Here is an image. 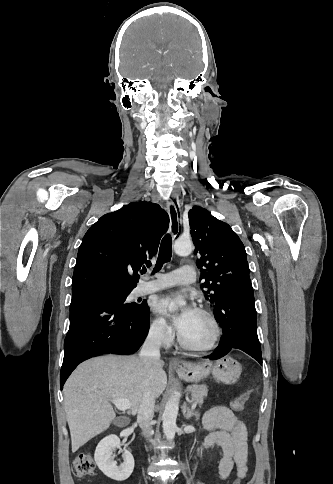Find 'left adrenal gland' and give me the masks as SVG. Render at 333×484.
I'll return each mask as SVG.
<instances>
[{
	"instance_id": "a2214340",
	"label": "left adrenal gland",
	"mask_w": 333,
	"mask_h": 484,
	"mask_svg": "<svg viewBox=\"0 0 333 484\" xmlns=\"http://www.w3.org/2000/svg\"><path fill=\"white\" fill-rule=\"evenodd\" d=\"M183 415L186 419H190L193 416L196 418V420L200 418V413L197 411H192L191 409H189V407H187L186 404L183 408Z\"/></svg>"
}]
</instances>
